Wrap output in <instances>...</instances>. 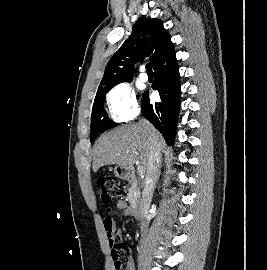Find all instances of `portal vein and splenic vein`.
Masks as SVG:
<instances>
[{"label": "portal vein and splenic vein", "instance_id": "18ae733b", "mask_svg": "<svg viewBox=\"0 0 267 270\" xmlns=\"http://www.w3.org/2000/svg\"><path fill=\"white\" fill-rule=\"evenodd\" d=\"M144 171H145L144 168L141 165H139L138 168H137L138 174L139 175H143L144 174Z\"/></svg>", "mask_w": 267, "mask_h": 270}]
</instances>
